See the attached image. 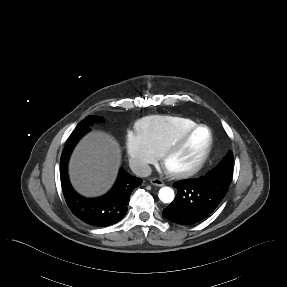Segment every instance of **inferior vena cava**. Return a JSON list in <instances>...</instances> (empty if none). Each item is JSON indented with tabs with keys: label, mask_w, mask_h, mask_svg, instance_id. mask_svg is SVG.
<instances>
[{
	"label": "inferior vena cava",
	"mask_w": 287,
	"mask_h": 287,
	"mask_svg": "<svg viewBox=\"0 0 287 287\" xmlns=\"http://www.w3.org/2000/svg\"><path fill=\"white\" fill-rule=\"evenodd\" d=\"M130 168L134 174L140 177H147L151 174V167L142 161L133 160L130 162Z\"/></svg>",
	"instance_id": "inferior-vena-cava-1"
}]
</instances>
